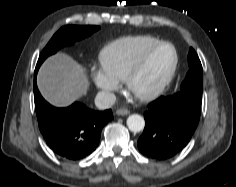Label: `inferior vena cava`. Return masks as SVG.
Listing matches in <instances>:
<instances>
[{
    "mask_svg": "<svg viewBox=\"0 0 236 187\" xmlns=\"http://www.w3.org/2000/svg\"><path fill=\"white\" fill-rule=\"evenodd\" d=\"M116 102V96L113 93L101 91L98 92L95 98V105L98 109L111 108Z\"/></svg>",
    "mask_w": 236,
    "mask_h": 187,
    "instance_id": "602c4592",
    "label": "inferior vena cava"
}]
</instances>
